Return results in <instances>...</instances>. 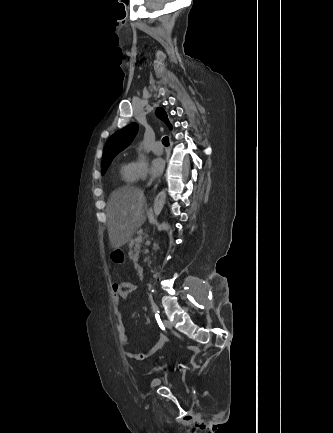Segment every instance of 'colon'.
Returning a JSON list of instances; mask_svg holds the SVG:
<instances>
[{
  "instance_id": "1",
  "label": "colon",
  "mask_w": 333,
  "mask_h": 433,
  "mask_svg": "<svg viewBox=\"0 0 333 433\" xmlns=\"http://www.w3.org/2000/svg\"><path fill=\"white\" fill-rule=\"evenodd\" d=\"M110 255L113 258V263L115 265H122L124 263L123 257L125 255V252L123 249H112Z\"/></svg>"
}]
</instances>
